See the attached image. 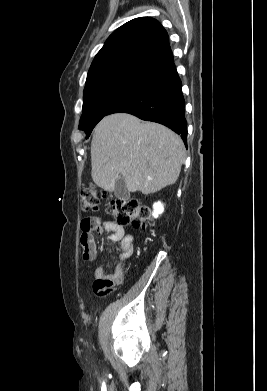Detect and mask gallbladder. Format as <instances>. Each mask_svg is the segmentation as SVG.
<instances>
[{
	"label": "gallbladder",
	"mask_w": 267,
	"mask_h": 391,
	"mask_svg": "<svg viewBox=\"0 0 267 391\" xmlns=\"http://www.w3.org/2000/svg\"><path fill=\"white\" fill-rule=\"evenodd\" d=\"M114 194L120 200L129 199L130 193L127 189L124 180L121 177L116 181Z\"/></svg>",
	"instance_id": "1"
}]
</instances>
